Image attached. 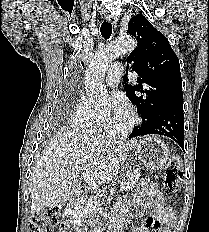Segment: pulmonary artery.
I'll list each match as a JSON object with an SVG mask.
<instances>
[{"mask_svg":"<svg viewBox=\"0 0 209 232\" xmlns=\"http://www.w3.org/2000/svg\"><path fill=\"white\" fill-rule=\"evenodd\" d=\"M124 70L125 68L122 63L112 64L105 77V83L107 84V86L110 87L116 86L119 83L120 78L124 73Z\"/></svg>","mask_w":209,"mask_h":232,"instance_id":"1","label":"pulmonary artery"}]
</instances>
